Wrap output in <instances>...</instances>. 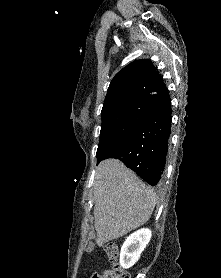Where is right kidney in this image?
<instances>
[{
	"label": "right kidney",
	"instance_id": "ca27d5eb",
	"mask_svg": "<svg viewBox=\"0 0 221 278\" xmlns=\"http://www.w3.org/2000/svg\"><path fill=\"white\" fill-rule=\"evenodd\" d=\"M151 236L149 229H140L125 240L120 252V265L123 268L128 269L138 261Z\"/></svg>",
	"mask_w": 221,
	"mask_h": 278
}]
</instances>
